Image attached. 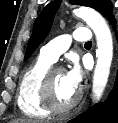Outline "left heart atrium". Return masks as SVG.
I'll list each match as a JSON object with an SVG mask.
<instances>
[{
	"label": "left heart atrium",
	"instance_id": "left-heart-atrium-1",
	"mask_svg": "<svg viewBox=\"0 0 118 123\" xmlns=\"http://www.w3.org/2000/svg\"><path fill=\"white\" fill-rule=\"evenodd\" d=\"M68 83L75 89H78L82 81V70L77 63H73L69 71L66 72Z\"/></svg>",
	"mask_w": 118,
	"mask_h": 123
}]
</instances>
